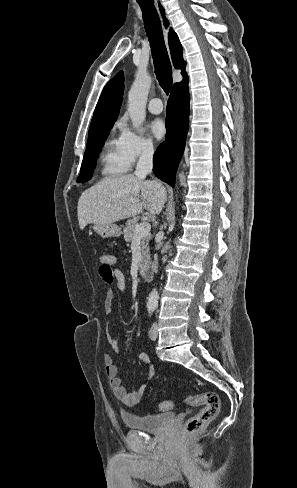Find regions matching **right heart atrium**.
<instances>
[{
    "label": "right heart atrium",
    "mask_w": 297,
    "mask_h": 488,
    "mask_svg": "<svg viewBox=\"0 0 297 488\" xmlns=\"http://www.w3.org/2000/svg\"><path fill=\"white\" fill-rule=\"evenodd\" d=\"M119 127L121 152L128 166L138 160L147 159L154 155L155 145L151 139L137 134L125 123H121Z\"/></svg>",
    "instance_id": "d8ad5b80"
}]
</instances>
